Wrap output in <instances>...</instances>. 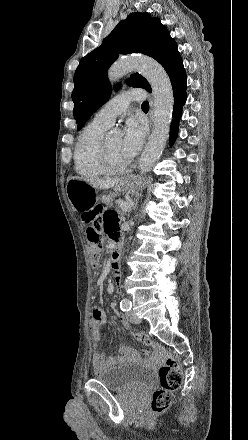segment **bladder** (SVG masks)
<instances>
[{"mask_svg":"<svg viewBox=\"0 0 248 440\" xmlns=\"http://www.w3.org/2000/svg\"><path fill=\"white\" fill-rule=\"evenodd\" d=\"M153 378L151 368L134 363H116L95 373L96 380L116 391L143 392L152 385Z\"/></svg>","mask_w":248,"mask_h":440,"instance_id":"1","label":"bladder"}]
</instances>
